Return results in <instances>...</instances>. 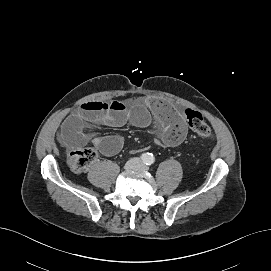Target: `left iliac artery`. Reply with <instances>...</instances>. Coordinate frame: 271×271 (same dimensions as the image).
Here are the masks:
<instances>
[{
    "label": "left iliac artery",
    "instance_id": "left-iliac-artery-1",
    "mask_svg": "<svg viewBox=\"0 0 271 271\" xmlns=\"http://www.w3.org/2000/svg\"><path fill=\"white\" fill-rule=\"evenodd\" d=\"M154 162H155V158H154V156L151 154V155L149 156L148 161H147L146 164H147V165H153Z\"/></svg>",
    "mask_w": 271,
    "mask_h": 271
}]
</instances>
